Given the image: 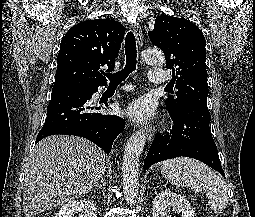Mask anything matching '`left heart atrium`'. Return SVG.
<instances>
[{
	"mask_svg": "<svg viewBox=\"0 0 255 217\" xmlns=\"http://www.w3.org/2000/svg\"><path fill=\"white\" fill-rule=\"evenodd\" d=\"M126 115L137 123H143L154 116V105L146 97L139 98L126 108Z\"/></svg>",
	"mask_w": 255,
	"mask_h": 217,
	"instance_id": "39dd6f15",
	"label": "left heart atrium"
}]
</instances>
